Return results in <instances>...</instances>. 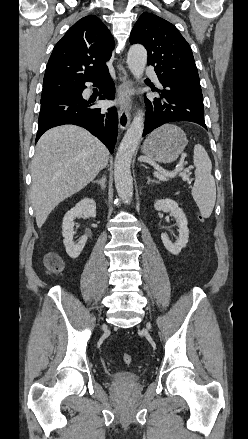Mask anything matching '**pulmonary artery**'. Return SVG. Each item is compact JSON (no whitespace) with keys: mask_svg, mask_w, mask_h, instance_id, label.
<instances>
[{"mask_svg":"<svg viewBox=\"0 0 248 439\" xmlns=\"http://www.w3.org/2000/svg\"><path fill=\"white\" fill-rule=\"evenodd\" d=\"M146 74L151 77L153 80L157 81L156 73L152 69H147Z\"/></svg>","mask_w":248,"mask_h":439,"instance_id":"e3ab8cb5","label":"pulmonary artery"}]
</instances>
